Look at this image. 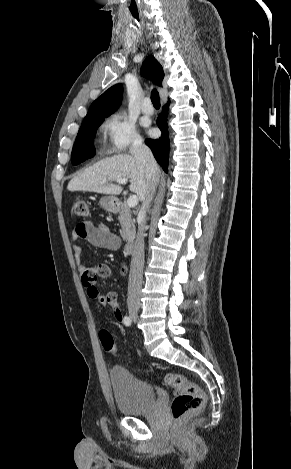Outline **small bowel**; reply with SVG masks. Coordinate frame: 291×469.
I'll return each mask as SVG.
<instances>
[{
  "label": "small bowel",
  "instance_id": "1",
  "mask_svg": "<svg viewBox=\"0 0 291 469\" xmlns=\"http://www.w3.org/2000/svg\"><path fill=\"white\" fill-rule=\"evenodd\" d=\"M73 241L86 240L92 246L108 250H117L120 246L119 237L110 231V229L102 223L95 224L92 221H82L75 225L72 232ZM74 259L78 271L81 273V281L86 288L90 298L99 297L105 301V306H110L113 310L114 318L117 322H123V314L119 307L118 296L116 292L111 291L105 295L100 294L97 288L98 279H105L110 276V268L104 263L87 267L81 262L82 248L78 244L72 246Z\"/></svg>",
  "mask_w": 291,
  "mask_h": 469
}]
</instances>
